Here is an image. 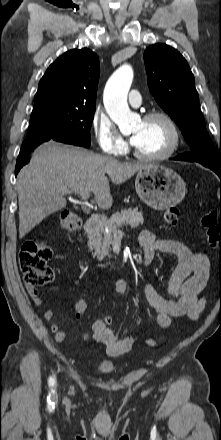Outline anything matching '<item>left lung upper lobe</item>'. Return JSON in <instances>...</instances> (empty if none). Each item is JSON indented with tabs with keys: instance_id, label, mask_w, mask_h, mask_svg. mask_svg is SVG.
I'll return each instance as SVG.
<instances>
[{
	"instance_id": "1",
	"label": "left lung upper lobe",
	"mask_w": 221,
	"mask_h": 440,
	"mask_svg": "<svg viewBox=\"0 0 221 440\" xmlns=\"http://www.w3.org/2000/svg\"><path fill=\"white\" fill-rule=\"evenodd\" d=\"M144 62L151 94L176 122L193 151L181 156L213 171L221 170V152L206 130L194 76L185 58L176 49L158 43L145 50Z\"/></svg>"
}]
</instances>
